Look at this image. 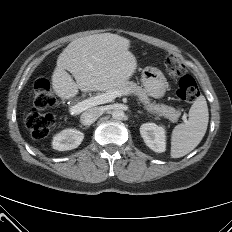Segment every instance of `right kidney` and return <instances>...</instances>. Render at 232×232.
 Here are the masks:
<instances>
[{
	"label": "right kidney",
	"mask_w": 232,
	"mask_h": 232,
	"mask_svg": "<svg viewBox=\"0 0 232 232\" xmlns=\"http://www.w3.org/2000/svg\"><path fill=\"white\" fill-rule=\"evenodd\" d=\"M84 134L76 129H65L58 133L52 142L54 149L67 151L77 148L83 141Z\"/></svg>",
	"instance_id": "1"
}]
</instances>
